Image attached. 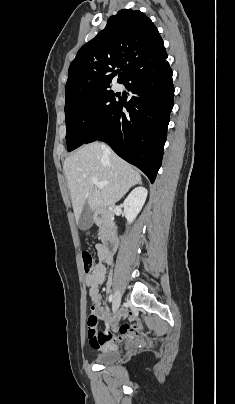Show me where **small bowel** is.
Returning <instances> with one entry per match:
<instances>
[{"mask_svg":"<svg viewBox=\"0 0 235 404\" xmlns=\"http://www.w3.org/2000/svg\"><path fill=\"white\" fill-rule=\"evenodd\" d=\"M99 262L94 266L93 270L85 276L86 285L89 287V296L92 301L91 309L93 314L100 318L106 329L93 334L88 330V338L90 346L93 349L98 350H111L117 347V345L131 337L132 335H137L141 331L140 325H134L130 323L119 324L118 320L113 318L106 307L102 305V297L99 292L100 285L105 281L106 278V266L105 263L109 264L112 262V257H110L106 251L103 244L97 243L95 245ZM111 258V260H109ZM122 317H129L131 319L135 318V314L130 309H124L121 313Z\"/></svg>","mask_w":235,"mask_h":404,"instance_id":"obj_1","label":"small bowel"}]
</instances>
